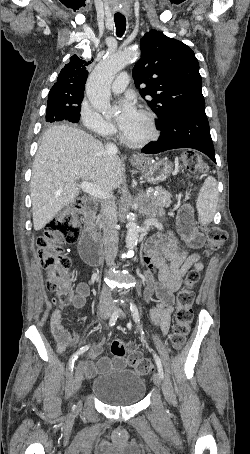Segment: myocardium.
Segmentation results:
<instances>
[{"mask_svg": "<svg viewBox=\"0 0 250 454\" xmlns=\"http://www.w3.org/2000/svg\"><path fill=\"white\" fill-rule=\"evenodd\" d=\"M139 113L145 118L147 122V125L149 127V134L140 140H129L122 134V132L119 133L120 141L131 148H142L152 143L159 137V130L154 114L145 109H141Z\"/></svg>", "mask_w": 250, "mask_h": 454, "instance_id": "obj_1", "label": "myocardium"}]
</instances>
